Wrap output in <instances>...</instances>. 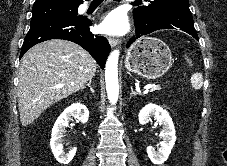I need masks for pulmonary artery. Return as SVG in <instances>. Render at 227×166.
I'll use <instances>...</instances> for the list:
<instances>
[{
	"label": "pulmonary artery",
	"mask_w": 227,
	"mask_h": 166,
	"mask_svg": "<svg viewBox=\"0 0 227 166\" xmlns=\"http://www.w3.org/2000/svg\"><path fill=\"white\" fill-rule=\"evenodd\" d=\"M127 1H130V0H127ZM82 9H83V10L87 9V5H83V6H82Z\"/></svg>",
	"instance_id": "pulmonary-artery-1"
}]
</instances>
